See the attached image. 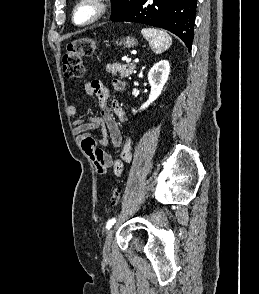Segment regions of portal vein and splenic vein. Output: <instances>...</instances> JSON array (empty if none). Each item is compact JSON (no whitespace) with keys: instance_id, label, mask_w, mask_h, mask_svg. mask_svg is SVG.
I'll list each match as a JSON object with an SVG mask.
<instances>
[{"instance_id":"obj_1","label":"portal vein and splenic vein","mask_w":259,"mask_h":294,"mask_svg":"<svg viewBox=\"0 0 259 294\" xmlns=\"http://www.w3.org/2000/svg\"><path fill=\"white\" fill-rule=\"evenodd\" d=\"M126 62L127 63H130L131 62V58L126 59Z\"/></svg>"}]
</instances>
